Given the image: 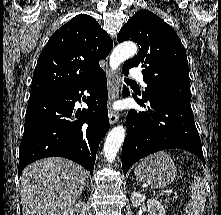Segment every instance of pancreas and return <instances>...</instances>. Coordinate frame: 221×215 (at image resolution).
<instances>
[{
	"label": "pancreas",
	"mask_w": 221,
	"mask_h": 215,
	"mask_svg": "<svg viewBox=\"0 0 221 215\" xmlns=\"http://www.w3.org/2000/svg\"><path fill=\"white\" fill-rule=\"evenodd\" d=\"M164 202H165L166 204H169V203H170V199H169V198H165Z\"/></svg>",
	"instance_id": "cf45deb5"
}]
</instances>
